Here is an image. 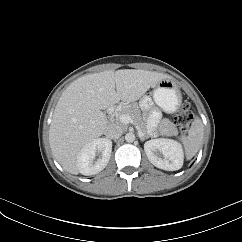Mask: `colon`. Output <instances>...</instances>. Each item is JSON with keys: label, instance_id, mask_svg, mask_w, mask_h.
I'll list each match as a JSON object with an SVG mask.
<instances>
[{"label": "colon", "instance_id": "colon-1", "mask_svg": "<svg viewBox=\"0 0 242 242\" xmlns=\"http://www.w3.org/2000/svg\"><path fill=\"white\" fill-rule=\"evenodd\" d=\"M192 121L190 106L187 102H183L180 106L179 113L176 115L174 122L179 130L183 133L187 132Z\"/></svg>", "mask_w": 242, "mask_h": 242}]
</instances>
